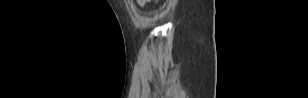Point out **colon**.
<instances>
[{"instance_id": "5ec220e1", "label": "colon", "mask_w": 308, "mask_h": 98, "mask_svg": "<svg viewBox=\"0 0 308 98\" xmlns=\"http://www.w3.org/2000/svg\"><path fill=\"white\" fill-rule=\"evenodd\" d=\"M149 1L150 0H139V3L143 5V4H145V3L149 2Z\"/></svg>"}]
</instances>
